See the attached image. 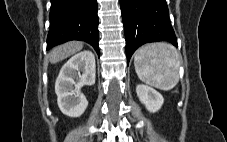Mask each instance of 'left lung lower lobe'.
<instances>
[{
  "label": "left lung lower lobe",
  "instance_id": "0a47b994",
  "mask_svg": "<svg viewBox=\"0 0 227 142\" xmlns=\"http://www.w3.org/2000/svg\"><path fill=\"white\" fill-rule=\"evenodd\" d=\"M120 4L127 63L135 50L148 42L169 41L177 47L166 0H120Z\"/></svg>",
  "mask_w": 227,
  "mask_h": 142
}]
</instances>
